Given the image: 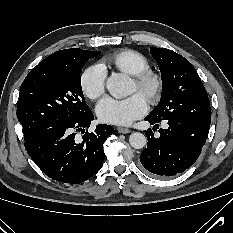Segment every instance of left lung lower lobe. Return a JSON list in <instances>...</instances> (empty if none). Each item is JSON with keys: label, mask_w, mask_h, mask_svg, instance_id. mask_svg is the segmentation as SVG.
I'll return each mask as SVG.
<instances>
[{"label": "left lung lower lobe", "mask_w": 233, "mask_h": 233, "mask_svg": "<svg viewBox=\"0 0 233 233\" xmlns=\"http://www.w3.org/2000/svg\"><path fill=\"white\" fill-rule=\"evenodd\" d=\"M145 120L154 125L153 131L158 128L159 122L155 119L146 117ZM166 121L168 128H160L158 138L151 129L145 131L148 144L140 155L144 168L160 177L173 176L191 167L205 145L210 128L209 124L187 117Z\"/></svg>", "instance_id": "left-lung-lower-lobe-1"}]
</instances>
